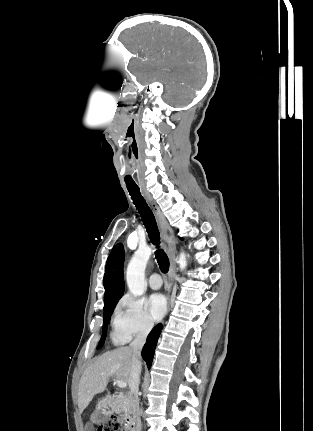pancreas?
<instances>
[{
	"label": "pancreas",
	"mask_w": 313,
	"mask_h": 431,
	"mask_svg": "<svg viewBox=\"0 0 313 431\" xmlns=\"http://www.w3.org/2000/svg\"><path fill=\"white\" fill-rule=\"evenodd\" d=\"M112 407L116 413H122L126 411V404L124 403L123 397H119L113 400Z\"/></svg>",
	"instance_id": "pancreas-1"
}]
</instances>
